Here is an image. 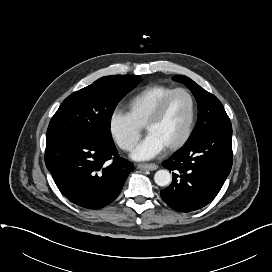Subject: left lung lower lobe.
<instances>
[{
    "instance_id": "1",
    "label": "left lung lower lobe",
    "mask_w": 272,
    "mask_h": 272,
    "mask_svg": "<svg viewBox=\"0 0 272 272\" xmlns=\"http://www.w3.org/2000/svg\"><path fill=\"white\" fill-rule=\"evenodd\" d=\"M162 165L173 174L172 183L160 192L168 206L181 212L206 206L219 193L232 167V127L188 139Z\"/></svg>"
}]
</instances>
